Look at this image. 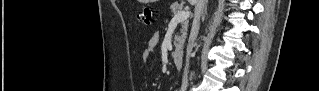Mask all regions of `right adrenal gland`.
<instances>
[{
  "label": "right adrenal gland",
  "instance_id": "2a0ac1e0",
  "mask_svg": "<svg viewBox=\"0 0 319 91\" xmlns=\"http://www.w3.org/2000/svg\"><path fill=\"white\" fill-rule=\"evenodd\" d=\"M207 3L208 1H206V5H205V10H204V15L202 16V19H205V16L207 15Z\"/></svg>",
  "mask_w": 319,
  "mask_h": 91
}]
</instances>
